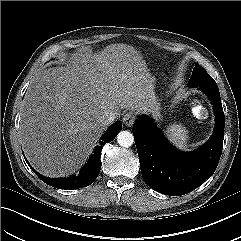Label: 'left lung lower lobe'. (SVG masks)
Wrapping results in <instances>:
<instances>
[{
    "instance_id": "1",
    "label": "left lung lower lobe",
    "mask_w": 241,
    "mask_h": 241,
    "mask_svg": "<svg viewBox=\"0 0 241 241\" xmlns=\"http://www.w3.org/2000/svg\"><path fill=\"white\" fill-rule=\"evenodd\" d=\"M210 98L216 116L215 131L200 149L183 153L172 147L155 124L140 116L132 131L144 182L170 196L187 194L212 176L220 160L224 139V113L218 88L200 87Z\"/></svg>"
}]
</instances>
